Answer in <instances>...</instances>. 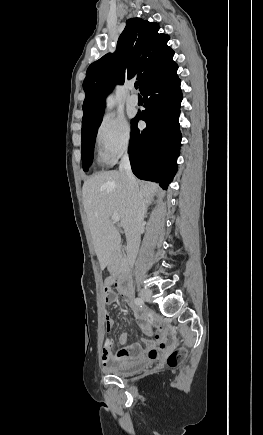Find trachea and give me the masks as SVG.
Wrapping results in <instances>:
<instances>
[{
  "mask_svg": "<svg viewBox=\"0 0 263 435\" xmlns=\"http://www.w3.org/2000/svg\"><path fill=\"white\" fill-rule=\"evenodd\" d=\"M134 86H135L136 89H138V83L137 82L135 83Z\"/></svg>",
  "mask_w": 263,
  "mask_h": 435,
  "instance_id": "3493384b",
  "label": "trachea"
}]
</instances>
